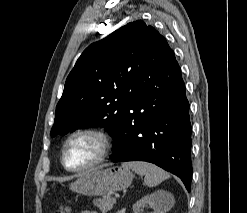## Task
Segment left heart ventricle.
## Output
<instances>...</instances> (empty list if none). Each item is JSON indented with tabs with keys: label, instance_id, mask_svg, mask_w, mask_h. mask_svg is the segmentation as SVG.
Segmentation results:
<instances>
[{
	"label": "left heart ventricle",
	"instance_id": "left-heart-ventricle-1",
	"mask_svg": "<svg viewBox=\"0 0 247 213\" xmlns=\"http://www.w3.org/2000/svg\"><path fill=\"white\" fill-rule=\"evenodd\" d=\"M100 151V143L91 135L73 138L66 148L65 161L71 168L83 167L92 162Z\"/></svg>",
	"mask_w": 247,
	"mask_h": 213
}]
</instances>
